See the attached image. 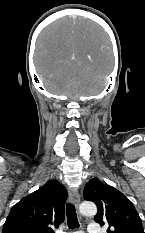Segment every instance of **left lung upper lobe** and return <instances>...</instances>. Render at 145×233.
Returning <instances> with one entry per match:
<instances>
[{"mask_svg":"<svg viewBox=\"0 0 145 233\" xmlns=\"http://www.w3.org/2000/svg\"><path fill=\"white\" fill-rule=\"evenodd\" d=\"M84 198L96 203L98 213L95 221L108 225V233H144L134 205L114 187L91 179L84 188Z\"/></svg>","mask_w":145,"mask_h":233,"instance_id":"left-lung-upper-lobe-1","label":"left lung upper lobe"}]
</instances>
